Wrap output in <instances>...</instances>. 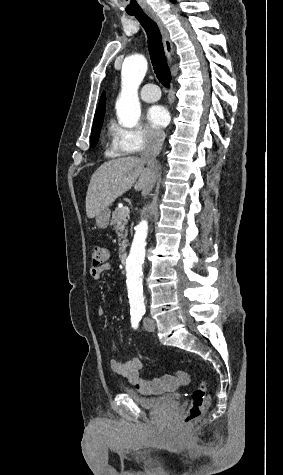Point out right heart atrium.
I'll return each mask as SVG.
<instances>
[{"instance_id":"obj_1","label":"right heart atrium","mask_w":283,"mask_h":475,"mask_svg":"<svg viewBox=\"0 0 283 475\" xmlns=\"http://www.w3.org/2000/svg\"><path fill=\"white\" fill-rule=\"evenodd\" d=\"M162 145V134L146 126L140 125L136 128L115 126L108 153L120 159L121 155H144L160 149Z\"/></svg>"}]
</instances>
